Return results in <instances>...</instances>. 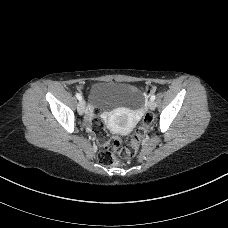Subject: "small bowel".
Masks as SVG:
<instances>
[{"label":"small bowel","mask_w":228,"mask_h":228,"mask_svg":"<svg viewBox=\"0 0 228 228\" xmlns=\"http://www.w3.org/2000/svg\"><path fill=\"white\" fill-rule=\"evenodd\" d=\"M91 121V117H90V115L88 114V116H87V122H90ZM105 138V136L103 135V137L102 138H100V140L101 139H104Z\"/></svg>","instance_id":"small-bowel-1"}]
</instances>
